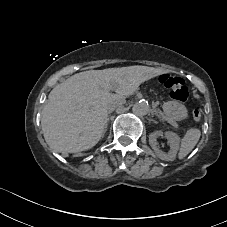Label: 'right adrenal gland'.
<instances>
[{
    "label": "right adrenal gland",
    "mask_w": 227,
    "mask_h": 227,
    "mask_svg": "<svg viewBox=\"0 0 227 227\" xmlns=\"http://www.w3.org/2000/svg\"><path fill=\"white\" fill-rule=\"evenodd\" d=\"M108 121H109V118H107V123L105 124V130H104V133L107 131ZM103 136H104V135H102V137H103Z\"/></svg>",
    "instance_id": "2a0ac1e0"
}]
</instances>
